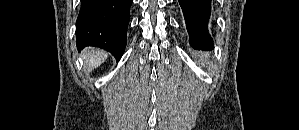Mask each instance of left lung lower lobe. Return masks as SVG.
Here are the masks:
<instances>
[{
  "label": "left lung lower lobe",
  "instance_id": "1",
  "mask_svg": "<svg viewBox=\"0 0 299 130\" xmlns=\"http://www.w3.org/2000/svg\"><path fill=\"white\" fill-rule=\"evenodd\" d=\"M190 35L192 47L202 50L213 48V40L208 33L211 15V0H179Z\"/></svg>",
  "mask_w": 299,
  "mask_h": 130
}]
</instances>
